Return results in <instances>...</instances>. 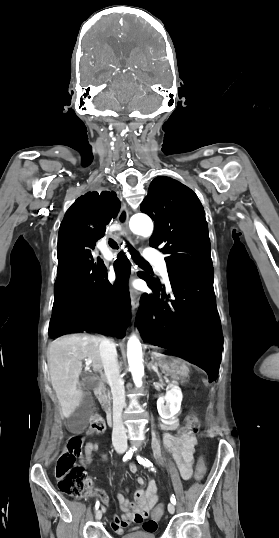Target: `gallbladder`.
Masks as SVG:
<instances>
[{
	"label": "gallbladder",
	"mask_w": 279,
	"mask_h": 538,
	"mask_svg": "<svg viewBox=\"0 0 279 538\" xmlns=\"http://www.w3.org/2000/svg\"><path fill=\"white\" fill-rule=\"evenodd\" d=\"M81 384L85 390H89L91 387H100L102 385V378L100 376H93V374H81ZM96 408V401L91 399L90 396L84 394L83 404H78L76 409L70 413V430L72 433H81L83 428H87L92 411Z\"/></svg>",
	"instance_id": "gallbladder-1"
}]
</instances>
